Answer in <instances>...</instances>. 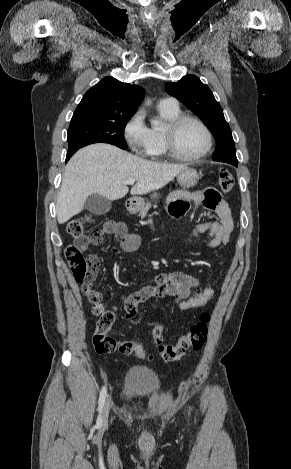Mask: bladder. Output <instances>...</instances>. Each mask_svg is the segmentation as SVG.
<instances>
[{
	"label": "bladder",
	"instance_id": "obj_1",
	"mask_svg": "<svg viewBox=\"0 0 291 469\" xmlns=\"http://www.w3.org/2000/svg\"><path fill=\"white\" fill-rule=\"evenodd\" d=\"M162 391L159 376L151 369L135 366L125 376L123 398L133 402L143 397L157 396Z\"/></svg>",
	"mask_w": 291,
	"mask_h": 469
}]
</instances>
